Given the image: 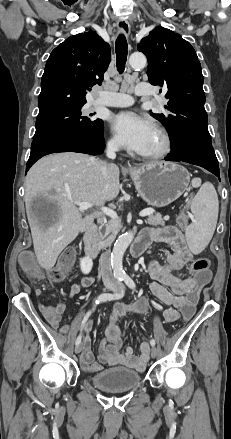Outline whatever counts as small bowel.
<instances>
[{"label":"small bowel","instance_id":"1","mask_svg":"<svg viewBox=\"0 0 231 439\" xmlns=\"http://www.w3.org/2000/svg\"><path fill=\"white\" fill-rule=\"evenodd\" d=\"M145 239L148 245L152 242L163 243L170 248L166 253L163 264L156 260H151L148 265V271L152 282L150 290L152 294L168 309L164 312V318L167 322L173 323L180 318L179 304L187 297V291L194 287L197 282L193 277H180L176 271L184 268L191 260L192 253L187 245L183 233L175 226H166L159 229L144 230L140 236ZM94 283L92 276H85L71 286L69 296L74 297L80 293L83 288L90 287ZM64 304H58L54 307L55 317L50 321L52 327L58 328L62 314L65 312ZM129 312L146 314L149 311V301L141 297L126 307ZM118 319L110 315V322L105 328V338L101 343L99 350V362L95 361L94 354L91 350V340L89 336L83 338V351L80 363L84 371L90 374L98 373L103 369V364L109 366L123 365L138 371L144 370L149 360V348L147 342L140 344L141 354L136 356L132 347H126L122 350L121 331L117 325ZM92 323L86 325V331L89 332ZM62 331L67 332L68 326L63 325Z\"/></svg>","mask_w":231,"mask_h":439}]
</instances>
